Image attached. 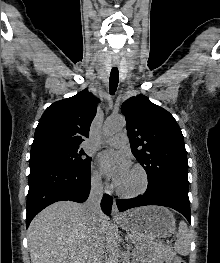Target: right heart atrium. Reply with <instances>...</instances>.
Wrapping results in <instances>:
<instances>
[{
	"instance_id": "right-heart-atrium-1",
	"label": "right heart atrium",
	"mask_w": 220,
	"mask_h": 263,
	"mask_svg": "<svg viewBox=\"0 0 220 263\" xmlns=\"http://www.w3.org/2000/svg\"><path fill=\"white\" fill-rule=\"evenodd\" d=\"M90 182L93 188L95 189H102L104 187V181L102 178V175L100 171L95 167V165H92L91 171H90Z\"/></svg>"
}]
</instances>
